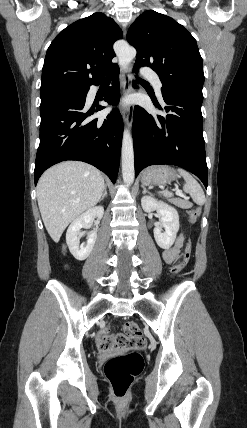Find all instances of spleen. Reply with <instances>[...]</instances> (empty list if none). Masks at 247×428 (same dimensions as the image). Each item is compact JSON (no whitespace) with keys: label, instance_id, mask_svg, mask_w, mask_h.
Instances as JSON below:
<instances>
[{"label":"spleen","instance_id":"spleen-1","mask_svg":"<svg viewBox=\"0 0 247 428\" xmlns=\"http://www.w3.org/2000/svg\"><path fill=\"white\" fill-rule=\"evenodd\" d=\"M178 171L185 180V184L183 187L184 191L190 194L196 204L203 205L206 199L200 184L187 171L182 169H179ZM165 195L171 197L172 193L166 192Z\"/></svg>","mask_w":247,"mask_h":428}]
</instances>
